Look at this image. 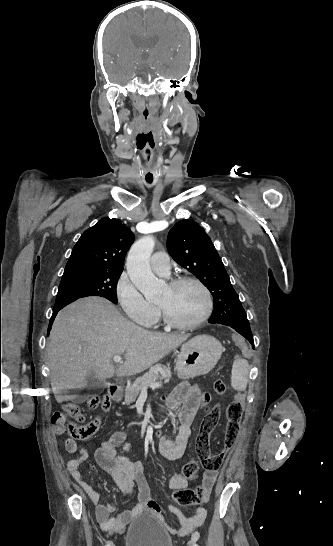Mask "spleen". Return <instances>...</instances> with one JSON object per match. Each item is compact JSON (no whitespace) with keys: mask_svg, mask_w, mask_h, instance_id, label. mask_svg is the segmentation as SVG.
I'll return each instance as SVG.
<instances>
[{"mask_svg":"<svg viewBox=\"0 0 333 546\" xmlns=\"http://www.w3.org/2000/svg\"><path fill=\"white\" fill-rule=\"evenodd\" d=\"M249 370L248 361L236 356L231 372V385L235 390H246L249 381Z\"/></svg>","mask_w":333,"mask_h":546,"instance_id":"3e777b00","label":"spleen"}]
</instances>
